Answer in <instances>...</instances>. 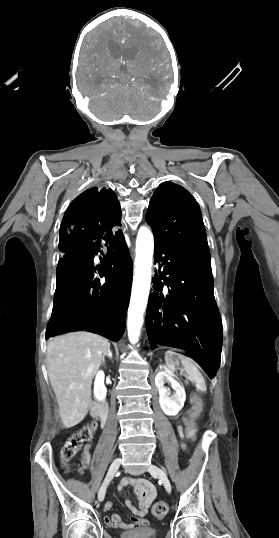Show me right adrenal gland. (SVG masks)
Returning a JSON list of instances; mask_svg holds the SVG:
<instances>
[{
    "label": "right adrenal gland",
    "instance_id": "right-adrenal-gland-1",
    "mask_svg": "<svg viewBox=\"0 0 279 538\" xmlns=\"http://www.w3.org/2000/svg\"><path fill=\"white\" fill-rule=\"evenodd\" d=\"M105 356H110V358H112V352H111V350H110V344H109V346H108V350H107V352H104V354H103V356H102V358H103V362H105Z\"/></svg>",
    "mask_w": 279,
    "mask_h": 538
}]
</instances>
